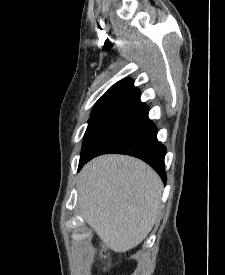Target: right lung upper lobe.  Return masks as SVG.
I'll use <instances>...</instances> for the list:
<instances>
[{
    "mask_svg": "<svg viewBox=\"0 0 225 275\" xmlns=\"http://www.w3.org/2000/svg\"><path fill=\"white\" fill-rule=\"evenodd\" d=\"M148 108L140 101V91L131 79L118 81L95 104L90 117L122 115L128 117Z\"/></svg>",
    "mask_w": 225,
    "mask_h": 275,
    "instance_id": "right-lung-upper-lobe-1",
    "label": "right lung upper lobe"
}]
</instances>
